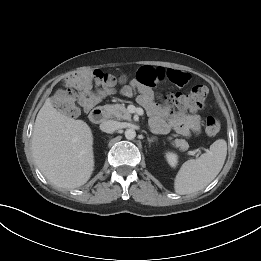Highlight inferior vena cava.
<instances>
[{"label": "inferior vena cava", "instance_id": "obj_1", "mask_svg": "<svg viewBox=\"0 0 261 261\" xmlns=\"http://www.w3.org/2000/svg\"><path fill=\"white\" fill-rule=\"evenodd\" d=\"M119 127H120L119 122L114 120H107L100 124V129L106 133H113L114 131L119 129Z\"/></svg>", "mask_w": 261, "mask_h": 261}]
</instances>
